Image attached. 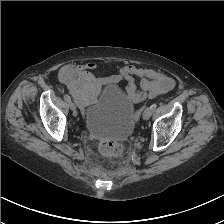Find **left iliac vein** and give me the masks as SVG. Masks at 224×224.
I'll return each instance as SVG.
<instances>
[{
	"label": "left iliac vein",
	"instance_id": "4c4485c4",
	"mask_svg": "<svg viewBox=\"0 0 224 224\" xmlns=\"http://www.w3.org/2000/svg\"><path fill=\"white\" fill-rule=\"evenodd\" d=\"M152 113L153 112L150 109V107L149 108H146L145 111L143 112V119L144 120H148L151 117Z\"/></svg>",
	"mask_w": 224,
	"mask_h": 224
}]
</instances>
